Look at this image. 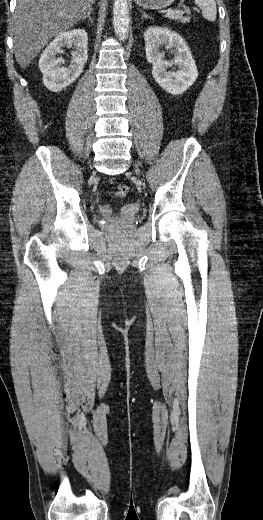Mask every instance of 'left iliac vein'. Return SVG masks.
Listing matches in <instances>:
<instances>
[{
	"mask_svg": "<svg viewBox=\"0 0 263 520\" xmlns=\"http://www.w3.org/2000/svg\"><path fill=\"white\" fill-rule=\"evenodd\" d=\"M136 173H137V174L139 173L137 169H136Z\"/></svg>",
	"mask_w": 263,
	"mask_h": 520,
	"instance_id": "obj_1",
	"label": "left iliac vein"
}]
</instances>
